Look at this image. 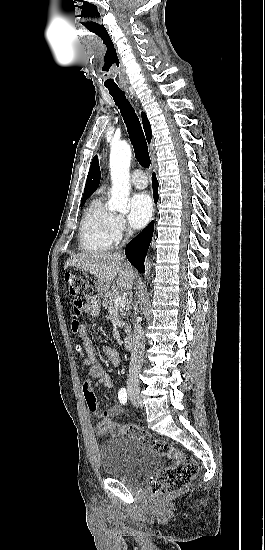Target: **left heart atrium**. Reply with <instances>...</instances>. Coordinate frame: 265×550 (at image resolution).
<instances>
[{
    "label": "left heart atrium",
    "mask_w": 265,
    "mask_h": 550,
    "mask_svg": "<svg viewBox=\"0 0 265 550\" xmlns=\"http://www.w3.org/2000/svg\"><path fill=\"white\" fill-rule=\"evenodd\" d=\"M153 212V203L147 193H136L130 199L128 221L131 227L139 229L150 220Z\"/></svg>",
    "instance_id": "left-heart-atrium-1"
}]
</instances>
